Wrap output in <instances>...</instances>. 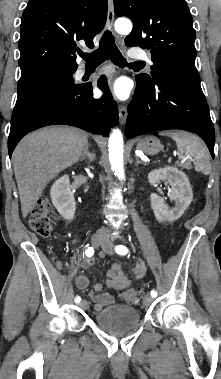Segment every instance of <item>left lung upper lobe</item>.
Masks as SVG:
<instances>
[{"label":"left lung upper lobe","mask_w":221,"mask_h":379,"mask_svg":"<svg viewBox=\"0 0 221 379\" xmlns=\"http://www.w3.org/2000/svg\"><path fill=\"white\" fill-rule=\"evenodd\" d=\"M114 9L133 21L125 44L151 49V76L140 74L136 80L148 82L157 72L200 82L193 19L185 0H114Z\"/></svg>","instance_id":"obj_1"}]
</instances>
